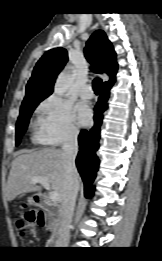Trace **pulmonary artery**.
<instances>
[{"mask_svg": "<svg viewBox=\"0 0 162 261\" xmlns=\"http://www.w3.org/2000/svg\"><path fill=\"white\" fill-rule=\"evenodd\" d=\"M79 95L81 98L83 99H91L94 95L93 93V89L92 86L89 84L84 85L80 91H79Z\"/></svg>", "mask_w": 162, "mask_h": 261, "instance_id": "obj_1", "label": "pulmonary artery"}]
</instances>
